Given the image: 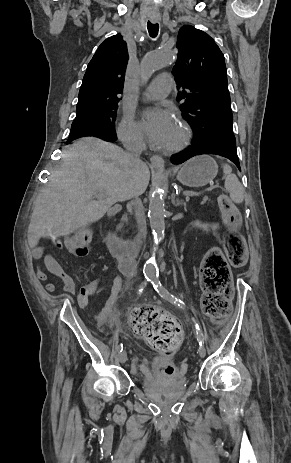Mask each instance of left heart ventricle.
<instances>
[{"instance_id":"left-heart-ventricle-1","label":"left heart ventricle","mask_w":291,"mask_h":463,"mask_svg":"<svg viewBox=\"0 0 291 463\" xmlns=\"http://www.w3.org/2000/svg\"><path fill=\"white\" fill-rule=\"evenodd\" d=\"M179 137V130H178V127H176L173 135L171 136L170 140L168 141L167 145L166 146H170L172 145L173 143H175L177 141Z\"/></svg>"}]
</instances>
